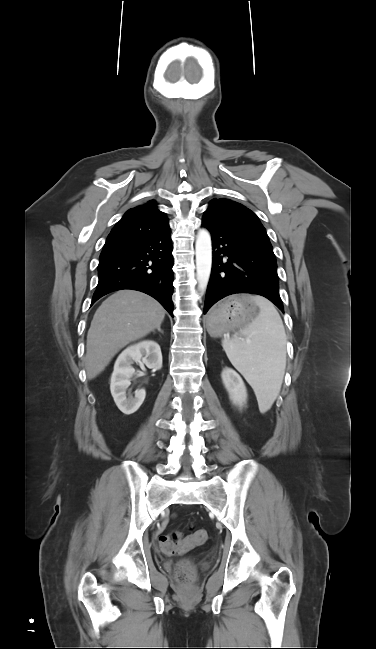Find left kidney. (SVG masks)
<instances>
[{
  "instance_id": "5707ae66",
  "label": "left kidney",
  "mask_w": 376,
  "mask_h": 649,
  "mask_svg": "<svg viewBox=\"0 0 376 649\" xmlns=\"http://www.w3.org/2000/svg\"><path fill=\"white\" fill-rule=\"evenodd\" d=\"M222 381L233 404L242 407L247 400L246 386L241 376L231 368L222 372Z\"/></svg>"
}]
</instances>
